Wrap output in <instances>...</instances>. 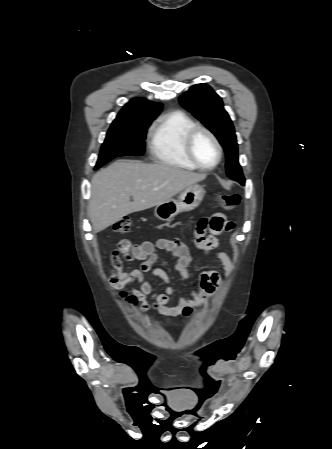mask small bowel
I'll list each match as a JSON object with an SVG mask.
<instances>
[{"label": "small bowel", "mask_w": 332, "mask_h": 449, "mask_svg": "<svg viewBox=\"0 0 332 449\" xmlns=\"http://www.w3.org/2000/svg\"><path fill=\"white\" fill-rule=\"evenodd\" d=\"M235 224L228 220L224 214L217 213L210 219L201 218L194 230V245L205 256L215 257L223 266L225 276H229L234 264L231 257L223 251H218L219 235L230 233ZM130 250L134 258L141 260L137 269L125 270L122 265H113L109 283L115 289H124L129 283L136 282L137 287L131 289V294L140 302L143 311L152 308L162 315L177 316L191 315L195 310L204 307L208 300L214 296L221 287L222 278L216 270H206L199 275L198 285L188 295H181L175 305H169L170 298L174 294V288L167 272L161 268H154L158 260V251L164 250L174 259L175 270L180 274L183 282L190 277L189 267L195 257L190 253L188 246L179 238H162L155 243L145 241L141 244H131ZM159 278L165 284V292H157L148 281L146 274ZM151 296L155 304L147 302Z\"/></svg>", "instance_id": "1"}]
</instances>
